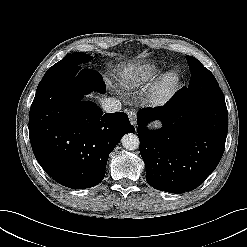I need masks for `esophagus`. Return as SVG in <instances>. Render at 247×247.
<instances>
[{
  "label": "esophagus",
  "mask_w": 247,
  "mask_h": 247,
  "mask_svg": "<svg viewBox=\"0 0 247 247\" xmlns=\"http://www.w3.org/2000/svg\"><path fill=\"white\" fill-rule=\"evenodd\" d=\"M128 116H129V119H130V122L131 124L136 127V111L131 109V110H126Z\"/></svg>",
  "instance_id": "34e87169"
}]
</instances>
